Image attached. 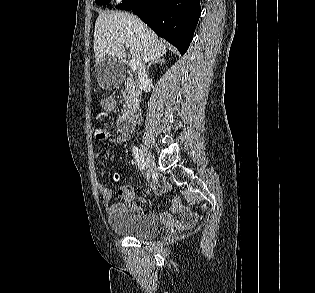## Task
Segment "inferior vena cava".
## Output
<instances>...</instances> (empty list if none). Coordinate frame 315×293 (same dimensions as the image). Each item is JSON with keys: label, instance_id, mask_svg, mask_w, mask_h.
<instances>
[{"label": "inferior vena cava", "instance_id": "inferior-vena-cava-1", "mask_svg": "<svg viewBox=\"0 0 315 293\" xmlns=\"http://www.w3.org/2000/svg\"><path fill=\"white\" fill-rule=\"evenodd\" d=\"M138 77L141 79H146L147 75H146V69H145V64L141 63L139 66V70H138Z\"/></svg>", "mask_w": 315, "mask_h": 293}]
</instances>
